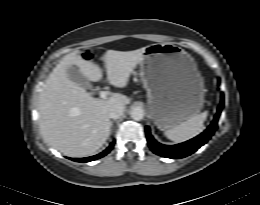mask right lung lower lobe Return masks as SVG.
Instances as JSON below:
<instances>
[{
	"mask_svg": "<svg viewBox=\"0 0 260 205\" xmlns=\"http://www.w3.org/2000/svg\"><path fill=\"white\" fill-rule=\"evenodd\" d=\"M114 143H115V141H113L106 150H104L102 153H100L98 155L91 156V157H86V158H71V159L74 160V161H77V162H89V161H93V160L99 159V158L103 157L104 155H106L107 153L110 152V150L114 146Z\"/></svg>",
	"mask_w": 260,
	"mask_h": 205,
	"instance_id": "right-lung-lower-lobe-1",
	"label": "right lung lower lobe"
}]
</instances>
